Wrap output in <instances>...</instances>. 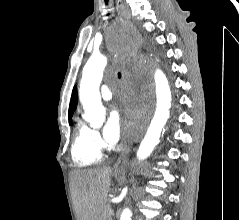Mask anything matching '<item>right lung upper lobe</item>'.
<instances>
[{
    "mask_svg": "<svg viewBox=\"0 0 239 220\" xmlns=\"http://www.w3.org/2000/svg\"><path fill=\"white\" fill-rule=\"evenodd\" d=\"M77 107V88L76 86L73 88L71 101L69 105V118H72L73 112Z\"/></svg>",
    "mask_w": 239,
    "mask_h": 220,
    "instance_id": "cb5924a9",
    "label": "right lung upper lobe"
}]
</instances>
